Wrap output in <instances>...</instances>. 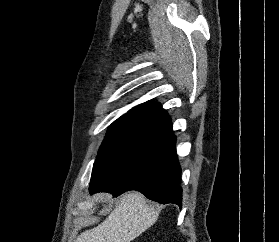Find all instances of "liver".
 Segmentation results:
<instances>
[{"label":"liver","mask_w":279,"mask_h":242,"mask_svg":"<svg viewBox=\"0 0 279 242\" xmlns=\"http://www.w3.org/2000/svg\"><path fill=\"white\" fill-rule=\"evenodd\" d=\"M99 197L105 203L111 198L108 194ZM158 217L159 211L142 194L128 193L105 221L81 233L75 242H131L151 227Z\"/></svg>","instance_id":"6515ba94"}]
</instances>
